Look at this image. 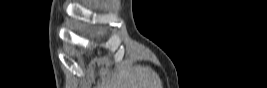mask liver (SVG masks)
<instances>
[{
    "mask_svg": "<svg viewBox=\"0 0 267 88\" xmlns=\"http://www.w3.org/2000/svg\"><path fill=\"white\" fill-rule=\"evenodd\" d=\"M99 75L102 80L101 88H162L159 76L150 67L120 69L115 73L101 69Z\"/></svg>",
    "mask_w": 267,
    "mask_h": 88,
    "instance_id": "liver-1",
    "label": "liver"
}]
</instances>
